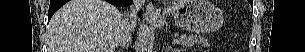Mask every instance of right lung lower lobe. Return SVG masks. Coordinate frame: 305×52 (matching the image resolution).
I'll use <instances>...</instances> for the list:
<instances>
[{
  "label": "right lung lower lobe",
  "instance_id": "right-lung-lower-lobe-1",
  "mask_svg": "<svg viewBox=\"0 0 305 52\" xmlns=\"http://www.w3.org/2000/svg\"><path fill=\"white\" fill-rule=\"evenodd\" d=\"M109 3L116 5V6H125L129 5L128 0H106ZM67 0H51L50 1V6H49V11H48V21H50L52 15L65 3Z\"/></svg>",
  "mask_w": 305,
  "mask_h": 52
}]
</instances>
